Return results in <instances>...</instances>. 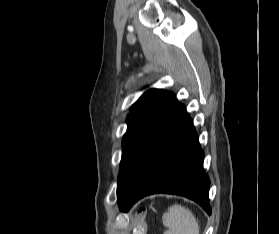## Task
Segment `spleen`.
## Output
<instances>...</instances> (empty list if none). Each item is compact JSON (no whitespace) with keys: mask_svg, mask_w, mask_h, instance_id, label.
<instances>
[{"mask_svg":"<svg viewBox=\"0 0 279 234\" xmlns=\"http://www.w3.org/2000/svg\"><path fill=\"white\" fill-rule=\"evenodd\" d=\"M162 222L167 227L164 234H199V224L195 216L181 205L170 206L163 214Z\"/></svg>","mask_w":279,"mask_h":234,"instance_id":"3e777b00","label":"spleen"}]
</instances>
